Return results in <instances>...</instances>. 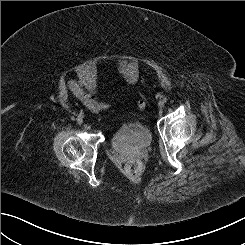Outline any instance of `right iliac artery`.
<instances>
[{
    "label": "right iliac artery",
    "instance_id": "82829eb1",
    "mask_svg": "<svg viewBox=\"0 0 245 245\" xmlns=\"http://www.w3.org/2000/svg\"><path fill=\"white\" fill-rule=\"evenodd\" d=\"M75 119H76V118H75L74 116L71 117V120H72V121H75Z\"/></svg>",
    "mask_w": 245,
    "mask_h": 245
}]
</instances>
